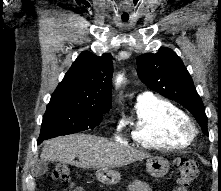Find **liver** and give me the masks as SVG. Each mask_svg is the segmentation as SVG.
Segmentation results:
<instances>
[{
  "instance_id": "liver-1",
  "label": "liver",
  "mask_w": 221,
  "mask_h": 191,
  "mask_svg": "<svg viewBox=\"0 0 221 191\" xmlns=\"http://www.w3.org/2000/svg\"><path fill=\"white\" fill-rule=\"evenodd\" d=\"M79 161H75V158ZM146 152L86 134H73L44 142L41 161H59L81 168L110 169L149 158Z\"/></svg>"
}]
</instances>
